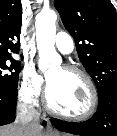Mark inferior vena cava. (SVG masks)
<instances>
[{"label":"inferior vena cava","instance_id":"obj_1","mask_svg":"<svg viewBox=\"0 0 117 136\" xmlns=\"http://www.w3.org/2000/svg\"><path fill=\"white\" fill-rule=\"evenodd\" d=\"M40 114L38 111L28 105L26 102H20L17 106V123L22 127L25 134L23 136H32L33 132L40 129Z\"/></svg>","mask_w":117,"mask_h":136}]
</instances>
